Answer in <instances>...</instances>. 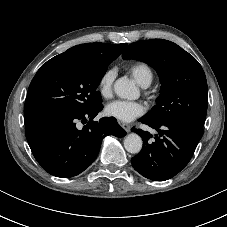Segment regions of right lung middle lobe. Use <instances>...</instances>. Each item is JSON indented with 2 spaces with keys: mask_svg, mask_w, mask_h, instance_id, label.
I'll list each match as a JSON object with an SVG mask.
<instances>
[{
  "mask_svg": "<svg viewBox=\"0 0 227 227\" xmlns=\"http://www.w3.org/2000/svg\"><path fill=\"white\" fill-rule=\"evenodd\" d=\"M116 53L100 62L55 56L41 66L28 90L24 114L38 118L50 113H75L102 102L96 91Z\"/></svg>",
  "mask_w": 227,
  "mask_h": 227,
  "instance_id": "dd1d6c3e",
  "label": "right lung middle lobe"
}]
</instances>
